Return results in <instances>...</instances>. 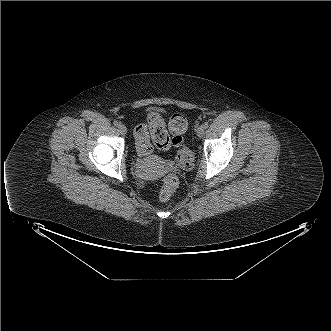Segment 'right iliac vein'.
I'll use <instances>...</instances> for the list:
<instances>
[{"instance_id":"obj_1","label":"right iliac vein","mask_w":331,"mask_h":331,"mask_svg":"<svg viewBox=\"0 0 331 331\" xmlns=\"http://www.w3.org/2000/svg\"><path fill=\"white\" fill-rule=\"evenodd\" d=\"M118 131L122 134V135H126L127 133V128L125 125L123 124H119L118 126Z\"/></svg>"}]
</instances>
